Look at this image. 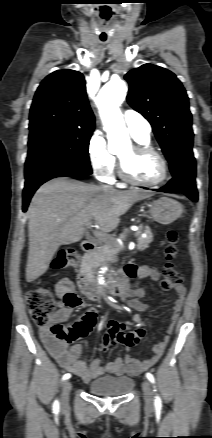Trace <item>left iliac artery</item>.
Listing matches in <instances>:
<instances>
[{
    "label": "left iliac artery",
    "mask_w": 212,
    "mask_h": 438,
    "mask_svg": "<svg viewBox=\"0 0 212 438\" xmlns=\"http://www.w3.org/2000/svg\"><path fill=\"white\" fill-rule=\"evenodd\" d=\"M146 377L151 383L155 382L154 376L151 373H146ZM155 406H157V407L162 406L161 399L158 395L155 397Z\"/></svg>",
    "instance_id": "left-iliac-artery-1"
}]
</instances>
